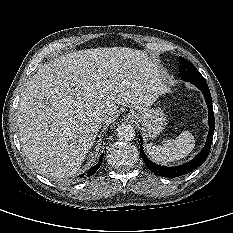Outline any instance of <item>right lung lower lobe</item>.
Returning <instances> with one entry per match:
<instances>
[{"instance_id":"obj_1","label":"right lung lower lobe","mask_w":233,"mask_h":233,"mask_svg":"<svg viewBox=\"0 0 233 233\" xmlns=\"http://www.w3.org/2000/svg\"><path fill=\"white\" fill-rule=\"evenodd\" d=\"M102 159H103V156L101 157L100 161L98 162L97 165H95L94 167H92L89 172H88V176H92L97 170L98 168L100 167L101 163H102ZM84 174L80 175V177H83Z\"/></svg>"}]
</instances>
